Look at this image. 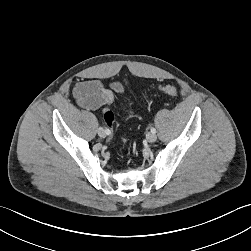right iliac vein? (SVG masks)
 Masks as SVG:
<instances>
[{"label": "right iliac vein", "instance_id": "63e3f726", "mask_svg": "<svg viewBox=\"0 0 251 251\" xmlns=\"http://www.w3.org/2000/svg\"><path fill=\"white\" fill-rule=\"evenodd\" d=\"M97 132H98L99 137H101V138H105L106 137V132H105V130L102 127H99L98 130H97Z\"/></svg>", "mask_w": 251, "mask_h": 251}]
</instances>
